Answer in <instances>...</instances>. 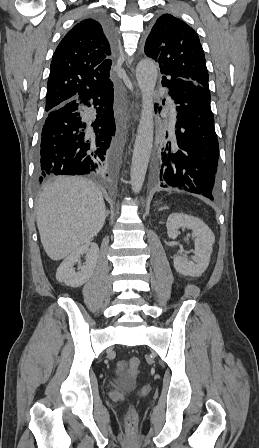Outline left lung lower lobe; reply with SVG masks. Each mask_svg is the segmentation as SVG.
I'll list each match as a JSON object with an SVG mask.
<instances>
[{
    "mask_svg": "<svg viewBox=\"0 0 259 448\" xmlns=\"http://www.w3.org/2000/svg\"><path fill=\"white\" fill-rule=\"evenodd\" d=\"M162 85L169 88L177 104V116L171 140L154 167L153 181L163 188L173 187L213 200L220 169L210 90L191 80L167 76L162 77Z\"/></svg>",
    "mask_w": 259,
    "mask_h": 448,
    "instance_id": "left-lung-lower-lobe-1",
    "label": "left lung lower lobe"
}]
</instances>
